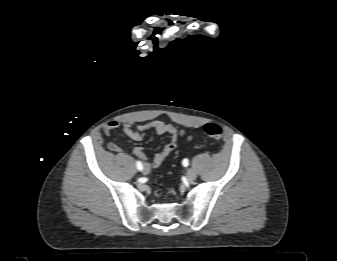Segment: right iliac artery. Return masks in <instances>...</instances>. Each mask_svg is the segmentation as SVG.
Listing matches in <instances>:
<instances>
[{"label": "right iliac artery", "instance_id": "1", "mask_svg": "<svg viewBox=\"0 0 337 261\" xmlns=\"http://www.w3.org/2000/svg\"><path fill=\"white\" fill-rule=\"evenodd\" d=\"M136 167H137V169L140 170V171L143 169V165H142V163H141L140 161H137V162H136Z\"/></svg>", "mask_w": 337, "mask_h": 261}]
</instances>
